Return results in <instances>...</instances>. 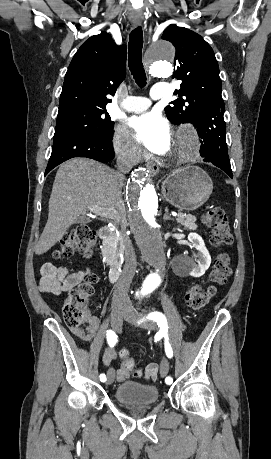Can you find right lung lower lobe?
<instances>
[{
    "instance_id": "98d812e1",
    "label": "right lung lower lobe",
    "mask_w": 271,
    "mask_h": 459,
    "mask_svg": "<svg viewBox=\"0 0 271 459\" xmlns=\"http://www.w3.org/2000/svg\"><path fill=\"white\" fill-rule=\"evenodd\" d=\"M73 157H87L109 162L115 157L110 135L73 134L54 141L45 175L60 163Z\"/></svg>"
}]
</instances>
